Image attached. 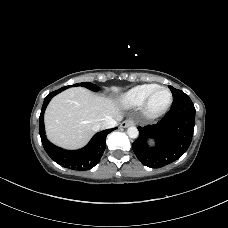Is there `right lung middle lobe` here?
Wrapping results in <instances>:
<instances>
[{
    "mask_svg": "<svg viewBox=\"0 0 228 228\" xmlns=\"http://www.w3.org/2000/svg\"><path fill=\"white\" fill-rule=\"evenodd\" d=\"M73 86H79V84L77 83V84H74V85L66 86V87H63L61 89L65 90V89H67L69 87H73ZM81 86L86 87V88H88V89H90L92 91H98L99 90L98 86H96L95 84L90 83V82H82Z\"/></svg>",
    "mask_w": 228,
    "mask_h": 228,
    "instance_id": "dd1d6c3e",
    "label": "right lung middle lobe"
}]
</instances>
